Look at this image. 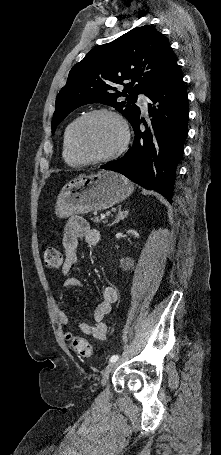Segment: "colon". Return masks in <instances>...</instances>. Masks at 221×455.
Returning <instances> with one entry per match:
<instances>
[{"label": "colon", "instance_id": "5ec220e1", "mask_svg": "<svg viewBox=\"0 0 221 455\" xmlns=\"http://www.w3.org/2000/svg\"><path fill=\"white\" fill-rule=\"evenodd\" d=\"M43 260L47 267L58 269L63 265V256L61 252L51 246H47L43 250ZM66 339L70 343L73 350L81 357L88 358L92 355V347L90 343L79 336L73 335L68 332Z\"/></svg>", "mask_w": 221, "mask_h": 455}]
</instances>
